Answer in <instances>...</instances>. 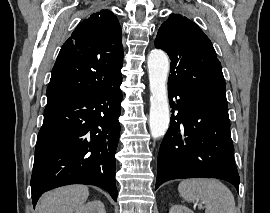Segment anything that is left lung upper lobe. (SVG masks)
<instances>
[{"instance_id":"obj_1","label":"left lung upper lobe","mask_w":270,"mask_h":213,"mask_svg":"<svg viewBox=\"0 0 270 213\" xmlns=\"http://www.w3.org/2000/svg\"><path fill=\"white\" fill-rule=\"evenodd\" d=\"M155 47L167 52L171 59L168 87L227 103L221 63L197 24L171 14L158 30Z\"/></svg>"}]
</instances>
